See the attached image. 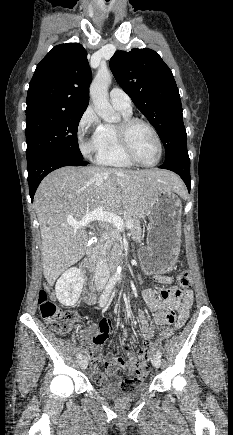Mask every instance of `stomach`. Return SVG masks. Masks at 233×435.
<instances>
[{"instance_id":"0dacf381","label":"stomach","mask_w":233,"mask_h":435,"mask_svg":"<svg viewBox=\"0 0 233 435\" xmlns=\"http://www.w3.org/2000/svg\"><path fill=\"white\" fill-rule=\"evenodd\" d=\"M181 213V200L173 190L160 192L148 210L147 246L139 251L147 275L168 273L176 264L181 241Z\"/></svg>"}]
</instances>
